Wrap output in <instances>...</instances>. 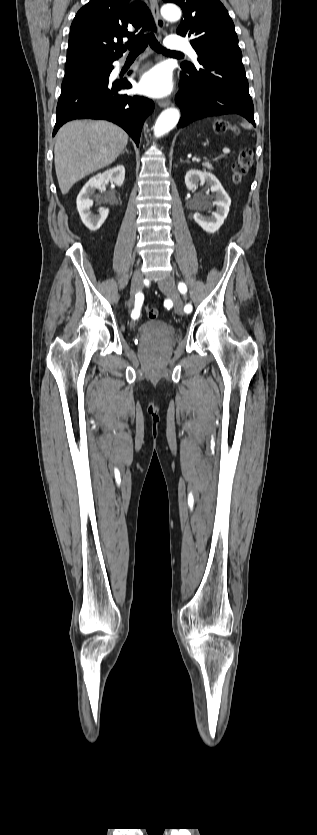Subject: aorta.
Instances as JSON below:
<instances>
[{"mask_svg": "<svg viewBox=\"0 0 317 835\" xmlns=\"http://www.w3.org/2000/svg\"><path fill=\"white\" fill-rule=\"evenodd\" d=\"M161 14L168 21H176L181 17V10L174 4H166L161 8ZM180 119V113L176 108L164 110L154 125V136L159 138L172 130Z\"/></svg>", "mask_w": 317, "mask_h": 835, "instance_id": "obj_1", "label": "aorta"}]
</instances>
